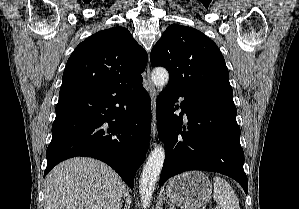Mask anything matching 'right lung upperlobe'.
<instances>
[{"label": "right lung upper lobe", "mask_w": 299, "mask_h": 209, "mask_svg": "<svg viewBox=\"0 0 299 209\" xmlns=\"http://www.w3.org/2000/svg\"><path fill=\"white\" fill-rule=\"evenodd\" d=\"M146 51L123 27L99 31L81 42L69 57L61 89L92 88L108 83H142ZM60 89V90H61Z\"/></svg>", "instance_id": "right-lung-upper-lobe-1"}]
</instances>
